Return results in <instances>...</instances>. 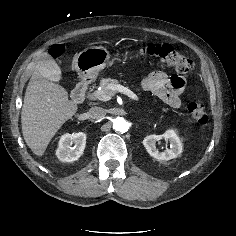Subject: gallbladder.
Here are the masks:
<instances>
[{
    "mask_svg": "<svg viewBox=\"0 0 236 236\" xmlns=\"http://www.w3.org/2000/svg\"><path fill=\"white\" fill-rule=\"evenodd\" d=\"M38 62H41L47 68V74L53 81H59L61 78V70L54 59L47 53H43L38 57Z\"/></svg>",
    "mask_w": 236,
    "mask_h": 236,
    "instance_id": "obj_1",
    "label": "gallbladder"
}]
</instances>
